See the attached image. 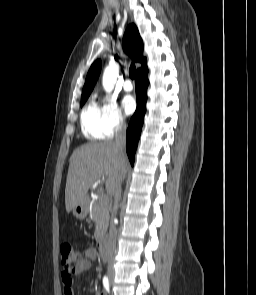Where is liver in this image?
I'll return each mask as SVG.
<instances>
[{
    "label": "liver",
    "instance_id": "6515ba94",
    "mask_svg": "<svg viewBox=\"0 0 256 295\" xmlns=\"http://www.w3.org/2000/svg\"><path fill=\"white\" fill-rule=\"evenodd\" d=\"M128 162L123 160L114 142H93L77 148L71 155L65 188V207L69 213L86 203L90 187L105 176L111 195L115 182L125 177Z\"/></svg>",
    "mask_w": 256,
    "mask_h": 295
}]
</instances>
